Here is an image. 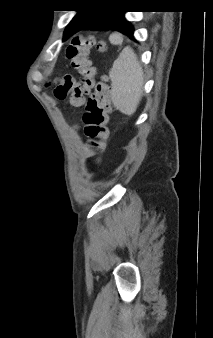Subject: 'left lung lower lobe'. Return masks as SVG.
<instances>
[{"label":"left lung lower lobe","mask_w":213,"mask_h":338,"mask_svg":"<svg viewBox=\"0 0 213 338\" xmlns=\"http://www.w3.org/2000/svg\"><path fill=\"white\" fill-rule=\"evenodd\" d=\"M124 12L121 9L109 10H85L75 19L65 32V40L76 32L84 29L90 30H116L124 33L129 38L133 37V26L125 20Z\"/></svg>","instance_id":"1"}]
</instances>
